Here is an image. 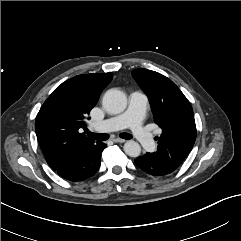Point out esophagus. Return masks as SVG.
Here are the masks:
<instances>
[{
  "label": "esophagus",
  "mask_w": 241,
  "mask_h": 241,
  "mask_svg": "<svg viewBox=\"0 0 241 241\" xmlns=\"http://www.w3.org/2000/svg\"><path fill=\"white\" fill-rule=\"evenodd\" d=\"M113 141L116 142V143H124V142H126V140L120 139V138H115V139H113Z\"/></svg>",
  "instance_id": "esophagus-1"
}]
</instances>
